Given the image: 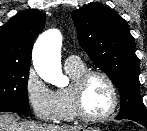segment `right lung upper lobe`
<instances>
[{
    "instance_id": "obj_1",
    "label": "right lung upper lobe",
    "mask_w": 147,
    "mask_h": 131,
    "mask_svg": "<svg viewBox=\"0 0 147 131\" xmlns=\"http://www.w3.org/2000/svg\"><path fill=\"white\" fill-rule=\"evenodd\" d=\"M45 14L25 10L0 27V64L29 66L33 43L45 25Z\"/></svg>"
}]
</instances>
